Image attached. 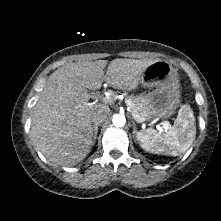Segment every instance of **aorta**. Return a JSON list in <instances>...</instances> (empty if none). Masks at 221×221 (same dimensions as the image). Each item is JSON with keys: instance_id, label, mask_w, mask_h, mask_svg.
<instances>
[{"instance_id": "aorta-1", "label": "aorta", "mask_w": 221, "mask_h": 221, "mask_svg": "<svg viewBox=\"0 0 221 221\" xmlns=\"http://www.w3.org/2000/svg\"><path fill=\"white\" fill-rule=\"evenodd\" d=\"M112 122L115 127H122L126 123V118L122 114H114L112 118Z\"/></svg>"}]
</instances>
